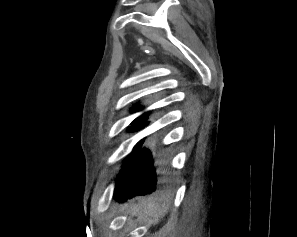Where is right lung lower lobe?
Instances as JSON below:
<instances>
[{
    "instance_id": "1",
    "label": "right lung lower lobe",
    "mask_w": 297,
    "mask_h": 237,
    "mask_svg": "<svg viewBox=\"0 0 297 237\" xmlns=\"http://www.w3.org/2000/svg\"><path fill=\"white\" fill-rule=\"evenodd\" d=\"M143 141L131 156L118 186L114 199L122 202L136 195L150 194L156 190L159 168L148 149H141Z\"/></svg>"
}]
</instances>
